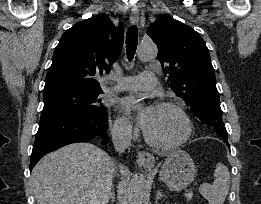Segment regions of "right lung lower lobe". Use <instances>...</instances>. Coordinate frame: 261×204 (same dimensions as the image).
I'll list each match as a JSON object with an SVG mask.
<instances>
[{
  "label": "right lung lower lobe",
  "mask_w": 261,
  "mask_h": 204,
  "mask_svg": "<svg viewBox=\"0 0 261 204\" xmlns=\"http://www.w3.org/2000/svg\"><path fill=\"white\" fill-rule=\"evenodd\" d=\"M107 111L59 110L41 114L29 169L47 153L76 142H88L97 136L107 143Z\"/></svg>",
  "instance_id": "obj_1"
}]
</instances>
